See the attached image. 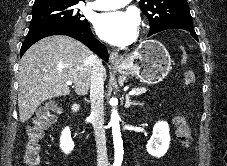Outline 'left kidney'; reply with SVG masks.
<instances>
[{
  "instance_id": "obj_1",
  "label": "left kidney",
  "mask_w": 227,
  "mask_h": 166,
  "mask_svg": "<svg viewBox=\"0 0 227 166\" xmlns=\"http://www.w3.org/2000/svg\"><path fill=\"white\" fill-rule=\"evenodd\" d=\"M169 125L165 121L157 122L153 127V134L146 146L147 152L157 158L163 157L170 144Z\"/></svg>"
}]
</instances>
